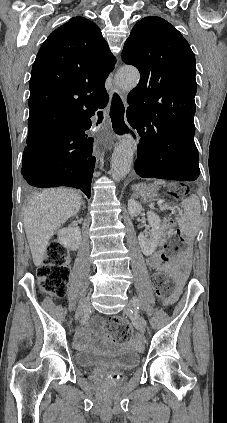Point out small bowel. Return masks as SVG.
<instances>
[{"instance_id": "small-bowel-1", "label": "small bowel", "mask_w": 227, "mask_h": 423, "mask_svg": "<svg viewBox=\"0 0 227 423\" xmlns=\"http://www.w3.org/2000/svg\"><path fill=\"white\" fill-rule=\"evenodd\" d=\"M147 264L150 268L155 269L157 271H170L174 274H176L179 277H183L185 275H187L188 273V261H187V257L184 255L182 256L180 259L170 262V263H166V264H162V261L159 257V255L157 253L150 255L147 258ZM175 298H171L165 301V304L169 305L172 304L174 302ZM93 324H100L101 320L100 319H95L92 321ZM89 327H84L80 330H78V332L75 335V344L77 347H85L87 345L88 342V338H89Z\"/></svg>"}]
</instances>
